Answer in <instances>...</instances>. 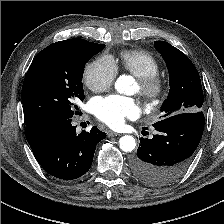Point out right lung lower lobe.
Listing matches in <instances>:
<instances>
[{"mask_svg": "<svg viewBox=\"0 0 224 224\" xmlns=\"http://www.w3.org/2000/svg\"><path fill=\"white\" fill-rule=\"evenodd\" d=\"M71 118L42 117L26 124V139L42 168L50 175L73 180L91 167L96 145L106 134L94 126L76 133Z\"/></svg>", "mask_w": 224, "mask_h": 224, "instance_id": "1", "label": "right lung lower lobe"}]
</instances>
